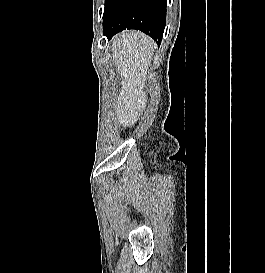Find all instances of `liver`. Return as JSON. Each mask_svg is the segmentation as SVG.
<instances>
[{
    "instance_id": "obj_1",
    "label": "liver",
    "mask_w": 265,
    "mask_h": 273,
    "mask_svg": "<svg viewBox=\"0 0 265 273\" xmlns=\"http://www.w3.org/2000/svg\"><path fill=\"white\" fill-rule=\"evenodd\" d=\"M155 49L153 40L137 31H126L113 37L112 51L120 70L122 89L115 104L116 116L123 127H130L145 108V77Z\"/></svg>"
}]
</instances>
